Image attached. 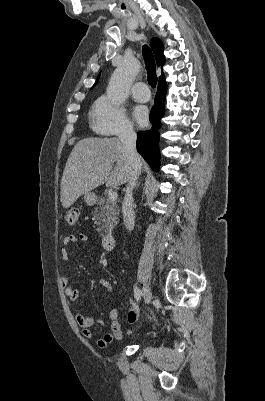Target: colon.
<instances>
[{"label":"colon","instance_id":"obj_1","mask_svg":"<svg viewBox=\"0 0 265 401\" xmlns=\"http://www.w3.org/2000/svg\"><path fill=\"white\" fill-rule=\"evenodd\" d=\"M66 223L70 226H74L77 223L78 220V212L76 210H70L67 212L65 216ZM129 320L134 323L137 318V313L136 312H131L128 315Z\"/></svg>","mask_w":265,"mask_h":401}]
</instances>
